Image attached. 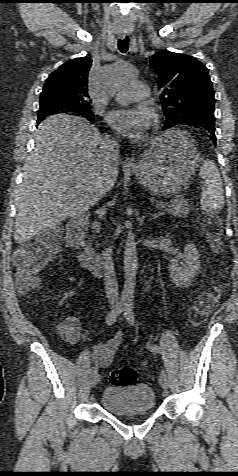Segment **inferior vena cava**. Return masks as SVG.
Masks as SVG:
<instances>
[{
    "instance_id": "1",
    "label": "inferior vena cava",
    "mask_w": 238,
    "mask_h": 476,
    "mask_svg": "<svg viewBox=\"0 0 238 476\" xmlns=\"http://www.w3.org/2000/svg\"><path fill=\"white\" fill-rule=\"evenodd\" d=\"M102 148L106 160L109 162H118L119 160V145L118 142L109 138H104L102 141ZM101 265L104 272V285L108 302L112 306L118 305V285L115 278L111 250L105 249L101 256Z\"/></svg>"
}]
</instances>
